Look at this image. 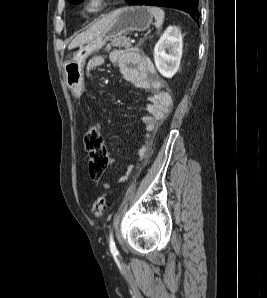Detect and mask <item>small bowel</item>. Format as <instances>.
<instances>
[{
	"mask_svg": "<svg viewBox=\"0 0 267 298\" xmlns=\"http://www.w3.org/2000/svg\"><path fill=\"white\" fill-rule=\"evenodd\" d=\"M110 60L115 63L125 80L138 88L146 89L152 92L148 98V115L143 118V124L146 130V141L140 148V154L144 155L146 147L156 132L159 125L166 118L172 106V98L165 89V83L156 74L152 61L136 49L114 50L110 53ZM104 63L102 56H96L90 59L87 65L88 76ZM113 162V160H111ZM126 176H120L119 182H123ZM103 187L109 189L110 185L104 181Z\"/></svg>",
	"mask_w": 267,
	"mask_h": 298,
	"instance_id": "obj_1",
	"label": "small bowel"
}]
</instances>
